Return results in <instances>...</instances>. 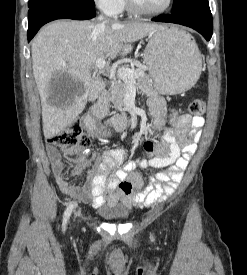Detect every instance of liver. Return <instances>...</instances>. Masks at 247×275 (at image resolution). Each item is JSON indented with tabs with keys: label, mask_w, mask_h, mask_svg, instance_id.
Returning a JSON list of instances; mask_svg holds the SVG:
<instances>
[{
	"label": "liver",
	"mask_w": 247,
	"mask_h": 275,
	"mask_svg": "<svg viewBox=\"0 0 247 275\" xmlns=\"http://www.w3.org/2000/svg\"><path fill=\"white\" fill-rule=\"evenodd\" d=\"M163 25L146 22L103 24L58 20L44 27L32 42V69L42 105L43 133L53 138L71 125L104 90L105 83L91 75L100 59L125 57L132 43ZM66 73L79 82L74 95L49 92L50 80Z\"/></svg>",
	"instance_id": "6515ba94"
}]
</instances>
